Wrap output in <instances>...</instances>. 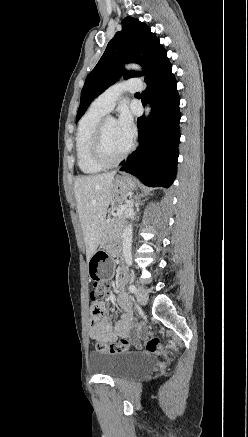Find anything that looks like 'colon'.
Wrapping results in <instances>:
<instances>
[{
  "mask_svg": "<svg viewBox=\"0 0 248 437\" xmlns=\"http://www.w3.org/2000/svg\"><path fill=\"white\" fill-rule=\"evenodd\" d=\"M110 292H111L110 283H108L107 286H98L95 281L92 285L90 296L93 301L99 302L104 298H106L110 294ZM143 346L144 349L150 353L156 355H167V351L165 347L161 344L159 339L156 337H151L147 339L144 342ZM96 349L99 352L122 353L129 349V341L125 338H122L118 342H112V343L100 342L96 345Z\"/></svg>",
  "mask_w": 248,
  "mask_h": 437,
  "instance_id": "5ec220e1",
  "label": "colon"
}]
</instances>
